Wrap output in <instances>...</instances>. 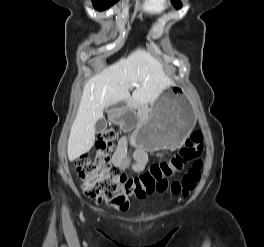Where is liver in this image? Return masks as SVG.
<instances>
[{
  "instance_id": "obj_1",
  "label": "liver",
  "mask_w": 264,
  "mask_h": 247,
  "mask_svg": "<svg viewBox=\"0 0 264 247\" xmlns=\"http://www.w3.org/2000/svg\"><path fill=\"white\" fill-rule=\"evenodd\" d=\"M172 81L163 71L161 63L150 53L137 49L106 67L90 79L82 93L76 118L68 139L67 153L70 161L88 152L95 140V124L103 117L105 108L122 100L141 105L155 101Z\"/></svg>"
}]
</instances>
